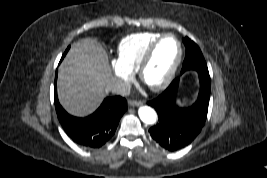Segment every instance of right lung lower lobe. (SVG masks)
Returning a JSON list of instances; mask_svg holds the SVG:
<instances>
[{
  "label": "right lung lower lobe",
  "mask_w": 267,
  "mask_h": 178,
  "mask_svg": "<svg viewBox=\"0 0 267 178\" xmlns=\"http://www.w3.org/2000/svg\"><path fill=\"white\" fill-rule=\"evenodd\" d=\"M55 108L61 126L66 134L78 145L85 148H100L114 135L118 123L127 110V102L121 96L107 97L91 115L78 118L68 114L60 105L56 94Z\"/></svg>",
  "instance_id": "1"
}]
</instances>
